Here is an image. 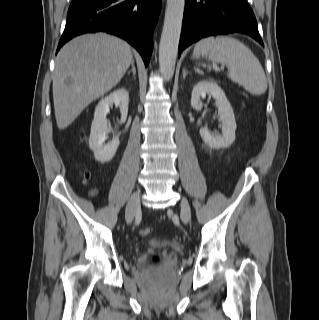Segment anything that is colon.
Returning a JSON list of instances; mask_svg holds the SVG:
<instances>
[{
	"mask_svg": "<svg viewBox=\"0 0 319 320\" xmlns=\"http://www.w3.org/2000/svg\"><path fill=\"white\" fill-rule=\"evenodd\" d=\"M84 175H85V176H88L89 174H88V172H84ZM93 194H94V193H93ZM152 232H153V230H152L151 228H142V229L140 230V235L146 237V236H149ZM150 263H151L152 265H159V264L161 263V257H160V255L157 254V253L153 254V255L151 256V258H150Z\"/></svg>",
	"mask_w": 319,
	"mask_h": 320,
	"instance_id": "5ec220e1",
	"label": "colon"
}]
</instances>
